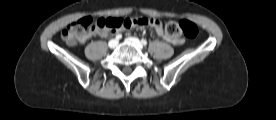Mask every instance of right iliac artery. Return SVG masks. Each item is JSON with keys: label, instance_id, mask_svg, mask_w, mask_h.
Returning <instances> with one entry per match:
<instances>
[{"label": "right iliac artery", "instance_id": "82829eb1", "mask_svg": "<svg viewBox=\"0 0 276 120\" xmlns=\"http://www.w3.org/2000/svg\"><path fill=\"white\" fill-rule=\"evenodd\" d=\"M115 38H116V40H120L122 38V35L121 34H117Z\"/></svg>", "mask_w": 276, "mask_h": 120}]
</instances>
